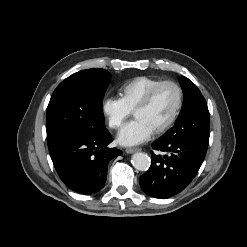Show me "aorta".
Returning a JSON list of instances; mask_svg holds the SVG:
<instances>
[{
  "label": "aorta",
  "instance_id": "obj_1",
  "mask_svg": "<svg viewBox=\"0 0 247 247\" xmlns=\"http://www.w3.org/2000/svg\"><path fill=\"white\" fill-rule=\"evenodd\" d=\"M132 165L139 171H147L151 165L150 157L142 152L135 153L132 156Z\"/></svg>",
  "mask_w": 247,
  "mask_h": 247
}]
</instances>
